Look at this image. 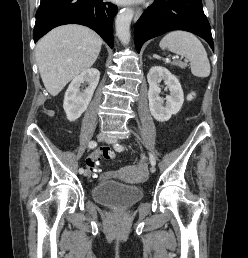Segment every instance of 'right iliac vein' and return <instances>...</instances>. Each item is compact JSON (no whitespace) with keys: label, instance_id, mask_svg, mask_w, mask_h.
<instances>
[{"label":"right iliac vein","instance_id":"63e3f726","mask_svg":"<svg viewBox=\"0 0 248 258\" xmlns=\"http://www.w3.org/2000/svg\"><path fill=\"white\" fill-rule=\"evenodd\" d=\"M107 137V135L104 132H101L97 135V140L98 141H103L105 138ZM89 175V171L85 170L84 172V176H88Z\"/></svg>","mask_w":248,"mask_h":258}]
</instances>
